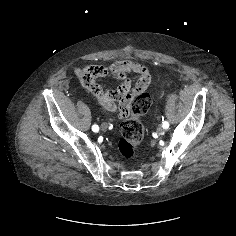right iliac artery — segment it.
<instances>
[{
    "label": "right iliac artery",
    "mask_w": 236,
    "mask_h": 236,
    "mask_svg": "<svg viewBox=\"0 0 236 236\" xmlns=\"http://www.w3.org/2000/svg\"><path fill=\"white\" fill-rule=\"evenodd\" d=\"M92 131H93V132H98V131H99V126L96 125V124L93 125V126H92Z\"/></svg>",
    "instance_id": "82829eb1"
}]
</instances>
